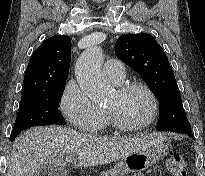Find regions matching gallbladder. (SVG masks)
<instances>
[{
	"mask_svg": "<svg viewBox=\"0 0 205 176\" xmlns=\"http://www.w3.org/2000/svg\"><path fill=\"white\" fill-rule=\"evenodd\" d=\"M64 170L53 164H43L35 172V176H63Z\"/></svg>",
	"mask_w": 205,
	"mask_h": 176,
	"instance_id": "obj_1",
	"label": "gallbladder"
}]
</instances>
